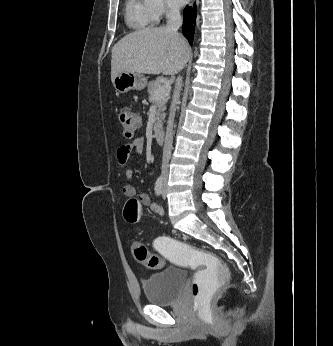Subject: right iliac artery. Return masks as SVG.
<instances>
[{"label": "right iliac artery", "mask_w": 333, "mask_h": 346, "mask_svg": "<svg viewBox=\"0 0 333 346\" xmlns=\"http://www.w3.org/2000/svg\"><path fill=\"white\" fill-rule=\"evenodd\" d=\"M163 186H164L163 177L159 176L155 183V193L157 196H160L162 194Z\"/></svg>", "instance_id": "right-iliac-artery-1"}]
</instances>
